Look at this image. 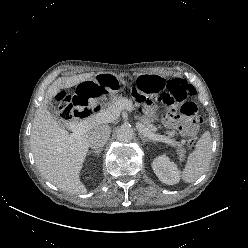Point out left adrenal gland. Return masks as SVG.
<instances>
[{
    "label": "left adrenal gland",
    "mask_w": 248,
    "mask_h": 248,
    "mask_svg": "<svg viewBox=\"0 0 248 248\" xmlns=\"http://www.w3.org/2000/svg\"><path fill=\"white\" fill-rule=\"evenodd\" d=\"M139 137L141 138L143 144H145V142H151V140H149L148 138H145L142 134L139 133Z\"/></svg>",
    "instance_id": "1"
}]
</instances>
